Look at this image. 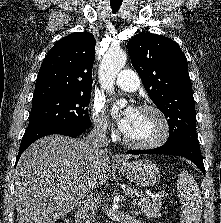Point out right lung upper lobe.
I'll return each instance as SVG.
<instances>
[{
  "instance_id": "cb5924a9",
  "label": "right lung upper lobe",
  "mask_w": 221,
  "mask_h": 223,
  "mask_svg": "<svg viewBox=\"0 0 221 223\" xmlns=\"http://www.w3.org/2000/svg\"><path fill=\"white\" fill-rule=\"evenodd\" d=\"M95 44L94 36L88 32L60 39L42 62L33 100L91 92Z\"/></svg>"
}]
</instances>
